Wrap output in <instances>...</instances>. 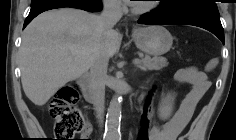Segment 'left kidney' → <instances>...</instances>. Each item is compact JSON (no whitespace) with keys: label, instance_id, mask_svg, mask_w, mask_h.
I'll return each mask as SVG.
<instances>
[{"label":"left kidney","instance_id":"1","mask_svg":"<svg viewBox=\"0 0 236 140\" xmlns=\"http://www.w3.org/2000/svg\"><path fill=\"white\" fill-rule=\"evenodd\" d=\"M173 101L174 97L170 94L162 98L158 109L160 118L168 119L171 116L173 111Z\"/></svg>","mask_w":236,"mask_h":140}]
</instances>
